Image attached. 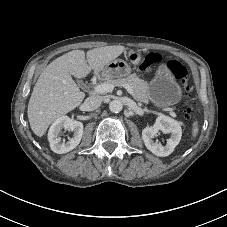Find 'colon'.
<instances>
[{
    "label": "colon",
    "instance_id": "obj_1",
    "mask_svg": "<svg viewBox=\"0 0 227 227\" xmlns=\"http://www.w3.org/2000/svg\"><path fill=\"white\" fill-rule=\"evenodd\" d=\"M161 61V56L156 53H149L140 65V69L143 72H150L151 69ZM168 67L173 74L174 78L179 82L182 89V96L184 100V112L185 116L189 118L193 112L191 104L190 87L187 82V70L177 61H170Z\"/></svg>",
    "mask_w": 227,
    "mask_h": 227
}]
</instances>
